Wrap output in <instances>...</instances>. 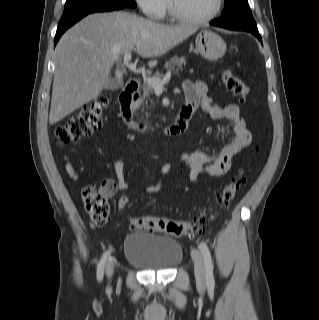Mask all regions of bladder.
Returning <instances> with one entry per match:
<instances>
[{"label":"bladder","instance_id":"1","mask_svg":"<svg viewBox=\"0 0 319 320\" xmlns=\"http://www.w3.org/2000/svg\"><path fill=\"white\" fill-rule=\"evenodd\" d=\"M125 259L145 271H166L183 259L181 244L172 236L130 233L124 241Z\"/></svg>","mask_w":319,"mask_h":320}]
</instances>
